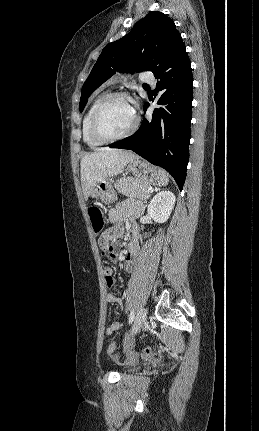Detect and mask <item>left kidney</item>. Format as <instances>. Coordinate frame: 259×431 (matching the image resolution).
<instances>
[{
    "instance_id": "obj_1",
    "label": "left kidney",
    "mask_w": 259,
    "mask_h": 431,
    "mask_svg": "<svg viewBox=\"0 0 259 431\" xmlns=\"http://www.w3.org/2000/svg\"><path fill=\"white\" fill-rule=\"evenodd\" d=\"M175 195L171 191H161L150 201L147 212L157 223L168 220L175 204Z\"/></svg>"
}]
</instances>
